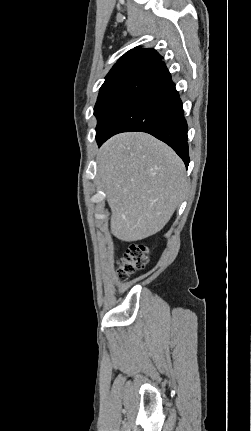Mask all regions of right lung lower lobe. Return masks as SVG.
<instances>
[{
    "instance_id": "right-lung-lower-lobe-1",
    "label": "right lung lower lobe",
    "mask_w": 251,
    "mask_h": 431,
    "mask_svg": "<svg viewBox=\"0 0 251 431\" xmlns=\"http://www.w3.org/2000/svg\"><path fill=\"white\" fill-rule=\"evenodd\" d=\"M129 131L146 132L168 144L189 164L187 123L175 84L158 54L124 100L102 135L101 145L111 136Z\"/></svg>"
}]
</instances>
